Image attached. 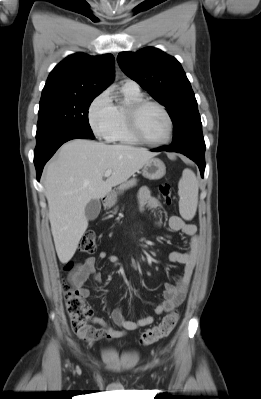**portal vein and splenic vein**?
Returning a JSON list of instances; mask_svg holds the SVG:
<instances>
[{"label":"portal vein and splenic vein","instance_id":"portal-vein-and-splenic-vein-1","mask_svg":"<svg viewBox=\"0 0 261 399\" xmlns=\"http://www.w3.org/2000/svg\"><path fill=\"white\" fill-rule=\"evenodd\" d=\"M111 174H112V171H111V170H107V171L104 173V176H105V177H109Z\"/></svg>","mask_w":261,"mask_h":399}]
</instances>
